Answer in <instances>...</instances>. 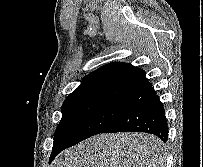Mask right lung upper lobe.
Returning a JSON list of instances; mask_svg holds the SVG:
<instances>
[{"instance_id": "right-lung-upper-lobe-1", "label": "right lung upper lobe", "mask_w": 203, "mask_h": 167, "mask_svg": "<svg viewBox=\"0 0 203 167\" xmlns=\"http://www.w3.org/2000/svg\"><path fill=\"white\" fill-rule=\"evenodd\" d=\"M155 93L144 70L129 63H110L87 75L63 104L77 100L99 99L132 106Z\"/></svg>"}]
</instances>
